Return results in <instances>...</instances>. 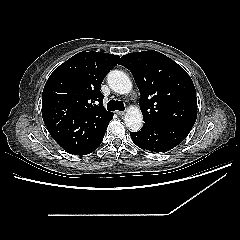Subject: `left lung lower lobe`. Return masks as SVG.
Segmentation results:
<instances>
[{
	"instance_id": "obj_1",
	"label": "left lung lower lobe",
	"mask_w": 240,
	"mask_h": 240,
	"mask_svg": "<svg viewBox=\"0 0 240 240\" xmlns=\"http://www.w3.org/2000/svg\"><path fill=\"white\" fill-rule=\"evenodd\" d=\"M193 126L175 125H143L138 132H131L132 141L141 149L152 153H165L180 144L189 134Z\"/></svg>"
}]
</instances>
